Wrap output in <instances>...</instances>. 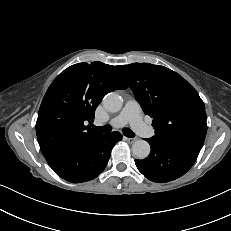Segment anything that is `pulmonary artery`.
Instances as JSON below:
<instances>
[{
  "label": "pulmonary artery",
  "mask_w": 231,
  "mask_h": 231,
  "mask_svg": "<svg viewBox=\"0 0 231 231\" xmlns=\"http://www.w3.org/2000/svg\"><path fill=\"white\" fill-rule=\"evenodd\" d=\"M127 123L143 137L154 136V129L142 120L140 106L134 100H128L120 113L110 121L113 127H122Z\"/></svg>",
  "instance_id": "e3ab8cb5"
}]
</instances>
